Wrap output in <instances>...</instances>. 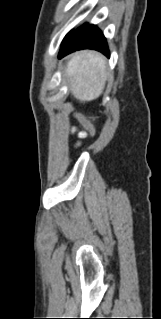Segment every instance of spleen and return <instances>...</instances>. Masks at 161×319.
<instances>
[{
  "mask_svg": "<svg viewBox=\"0 0 161 319\" xmlns=\"http://www.w3.org/2000/svg\"><path fill=\"white\" fill-rule=\"evenodd\" d=\"M66 73L72 94L80 101L98 98L105 87L107 67L104 57L84 51L70 59Z\"/></svg>",
  "mask_w": 161,
  "mask_h": 319,
  "instance_id": "spleen-1",
  "label": "spleen"
}]
</instances>
